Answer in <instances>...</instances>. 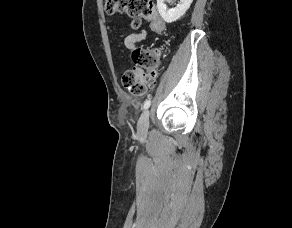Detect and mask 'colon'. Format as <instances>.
<instances>
[{"instance_id": "1", "label": "colon", "mask_w": 292, "mask_h": 228, "mask_svg": "<svg viewBox=\"0 0 292 228\" xmlns=\"http://www.w3.org/2000/svg\"><path fill=\"white\" fill-rule=\"evenodd\" d=\"M105 10L108 14L124 13L132 19V26L138 27L142 19H153L151 27L160 30L163 21L155 16L154 4L151 0H106ZM132 59L136 66L124 72L122 84L135 96H143L147 88L156 78V69L160 62V54L157 49H145L136 47L132 51ZM138 69H145L140 73Z\"/></svg>"}]
</instances>
